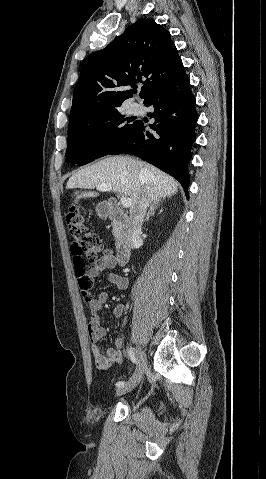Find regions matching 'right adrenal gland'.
Returning <instances> with one entry per match:
<instances>
[{"label":"right adrenal gland","mask_w":266,"mask_h":479,"mask_svg":"<svg viewBox=\"0 0 266 479\" xmlns=\"http://www.w3.org/2000/svg\"><path fill=\"white\" fill-rule=\"evenodd\" d=\"M158 206H160V200H154L151 203L150 209L144 219V222L149 221L150 217L155 214V210L157 209Z\"/></svg>","instance_id":"1"}]
</instances>
